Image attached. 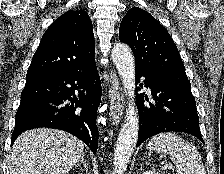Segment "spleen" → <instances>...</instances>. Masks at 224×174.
Wrapping results in <instances>:
<instances>
[{"instance_id": "3e777b00", "label": "spleen", "mask_w": 224, "mask_h": 174, "mask_svg": "<svg viewBox=\"0 0 224 174\" xmlns=\"http://www.w3.org/2000/svg\"><path fill=\"white\" fill-rule=\"evenodd\" d=\"M150 151L169 154L177 174H206L202 157L197 149L174 133H160L147 144Z\"/></svg>"}]
</instances>
